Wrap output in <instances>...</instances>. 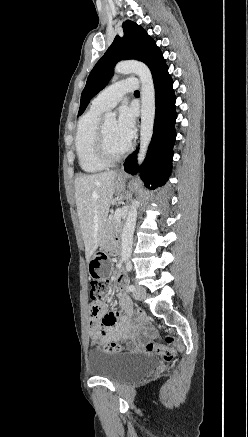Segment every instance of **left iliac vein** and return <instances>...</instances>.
Masks as SVG:
<instances>
[{"instance_id": "4c4485c4", "label": "left iliac vein", "mask_w": 248, "mask_h": 437, "mask_svg": "<svg viewBox=\"0 0 248 437\" xmlns=\"http://www.w3.org/2000/svg\"><path fill=\"white\" fill-rule=\"evenodd\" d=\"M133 296L137 300H144L146 298V290L142 286H136L133 291Z\"/></svg>"}]
</instances>
